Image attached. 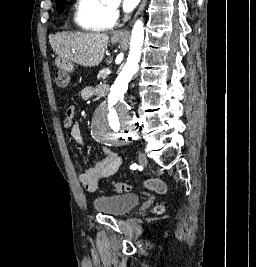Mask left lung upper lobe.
<instances>
[{
  "mask_svg": "<svg viewBox=\"0 0 256 267\" xmlns=\"http://www.w3.org/2000/svg\"><path fill=\"white\" fill-rule=\"evenodd\" d=\"M66 5V0H57V11L61 13Z\"/></svg>",
  "mask_w": 256,
  "mask_h": 267,
  "instance_id": "obj_1",
  "label": "left lung upper lobe"
}]
</instances>
